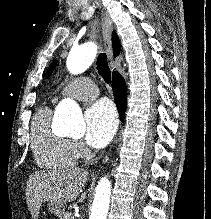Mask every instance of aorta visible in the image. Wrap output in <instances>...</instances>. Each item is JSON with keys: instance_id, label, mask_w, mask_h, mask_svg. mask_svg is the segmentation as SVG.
<instances>
[{"instance_id": "obj_1", "label": "aorta", "mask_w": 211, "mask_h": 219, "mask_svg": "<svg viewBox=\"0 0 211 219\" xmlns=\"http://www.w3.org/2000/svg\"><path fill=\"white\" fill-rule=\"evenodd\" d=\"M96 46L86 43L73 47L67 57V69L71 74L84 72L94 61ZM56 118L64 125L65 133L73 137H81L85 133V123L79 106L70 99L63 100L57 107ZM111 196V182L102 177L96 187L89 219H106Z\"/></svg>"}]
</instances>
